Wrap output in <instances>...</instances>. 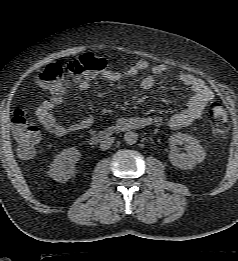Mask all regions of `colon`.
I'll return each instance as SVG.
<instances>
[{"label":"colon","mask_w":238,"mask_h":261,"mask_svg":"<svg viewBox=\"0 0 238 261\" xmlns=\"http://www.w3.org/2000/svg\"><path fill=\"white\" fill-rule=\"evenodd\" d=\"M105 66L104 59L86 53L65 64L51 63L47 65L45 69L37 74L36 80L41 87L52 92L61 93L66 90V79L68 77H91L101 72ZM208 114L214 136L224 137L228 129L225 108L217 101L212 102ZM12 132L17 143L18 154L22 158H31L36 152L42 135L40 130L27 119L23 110L18 109L14 112Z\"/></svg>","instance_id":"obj_1"}]
</instances>
